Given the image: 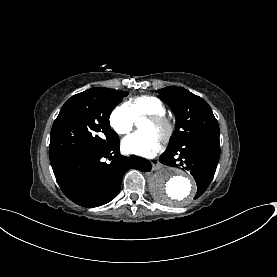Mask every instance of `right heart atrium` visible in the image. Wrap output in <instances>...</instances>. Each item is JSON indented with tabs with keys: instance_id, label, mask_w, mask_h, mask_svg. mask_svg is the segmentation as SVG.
<instances>
[{
	"instance_id": "right-heart-atrium-1",
	"label": "right heart atrium",
	"mask_w": 277,
	"mask_h": 277,
	"mask_svg": "<svg viewBox=\"0 0 277 277\" xmlns=\"http://www.w3.org/2000/svg\"><path fill=\"white\" fill-rule=\"evenodd\" d=\"M110 125L114 131L119 135L128 134L134 124V118L125 105L117 106L110 115Z\"/></svg>"
}]
</instances>
